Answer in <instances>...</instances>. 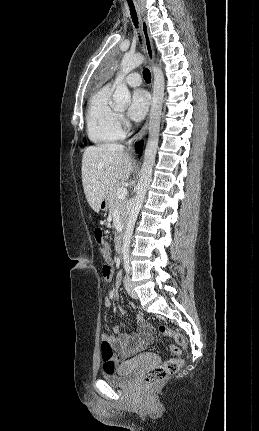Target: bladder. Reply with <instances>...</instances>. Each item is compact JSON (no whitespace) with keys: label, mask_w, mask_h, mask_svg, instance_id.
Here are the masks:
<instances>
[{"label":"bladder","mask_w":259,"mask_h":431,"mask_svg":"<svg viewBox=\"0 0 259 431\" xmlns=\"http://www.w3.org/2000/svg\"><path fill=\"white\" fill-rule=\"evenodd\" d=\"M136 369V364L125 363L119 366L115 371H104L102 373V378L113 385H124L131 379Z\"/></svg>","instance_id":"bladder-1"}]
</instances>
